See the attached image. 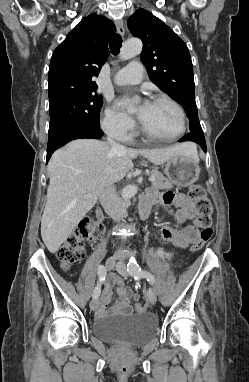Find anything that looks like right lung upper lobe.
Masks as SVG:
<instances>
[{"label":"right lung upper lobe","instance_id":"cb5924a9","mask_svg":"<svg viewBox=\"0 0 249 382\" xmlns=\"http://www.w3.org/2000/svg\"><path fill=\"white\" fill-rule=\"evenodd\" d=\"M113 22L91 14L54 50L49 67V103L63 98L94 94L93 81L106 61L108 41L115 33Z\"/></svg>","mask_w":249,"mask_h":382}]
</instances>
